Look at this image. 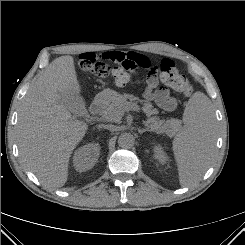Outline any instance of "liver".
Listing matches in <instances>:
<instances>
[{
	"label": "liver",
	"instance_id": "liver-1",
	"mask_svg": "<svg viewBox=\"0 0 245 245\" xmlns=\"http://www.w3.org/2000/svg\"><path fill=\"white\" fill-rule=\"evenodd\" d=\"M70 91L80 94L81 86L74 59L66 55L42 72L19 111L16 137L20 160L45 187L64 186L71 154L88 129L59 102Z\"/></svg>",
	"mask_w": 245,
	"mask_h": 245
}]
</instances>
